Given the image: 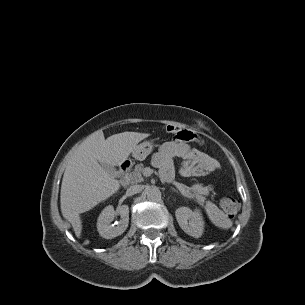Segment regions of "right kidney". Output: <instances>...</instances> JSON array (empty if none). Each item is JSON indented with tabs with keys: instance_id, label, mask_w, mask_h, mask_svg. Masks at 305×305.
<instances>
[{
	"instance_id": "ca27d5eb",
	"label": "right kidney",
	"mask_w": 305,
	"mask_h": 305,
	"mask_svg": "<svg viewBox=\"0 0 305 305\" xmlns=\"http://www.w3.org/2000/svg\"><path fill=\"white\" fill-rule=\"evenodd\" d=\"M116 214H119L121 219L117 225L112 224ZM129 223V207L122 205L115 211L113 206L109 205L103 209L98 217L97 229L101 237L112 239L121 235L128 227Z\"/></svg>"
}]
</instances>
